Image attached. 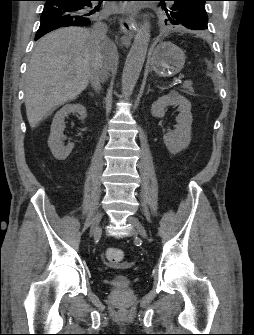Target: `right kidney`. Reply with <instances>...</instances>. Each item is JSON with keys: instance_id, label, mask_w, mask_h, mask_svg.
Listing matches in <instances>:
<instances>
[{"instance_id": "1", "label": "right kidney", "mask_w": 254, "mask_h": 335, "mask_svg": "<svg viewBox=\"0 0 254 335\" xmlns=\"http://www.w3.org/2000/svg\"><path fill=\"white\" fill-rule=\"evenodd\" d=\"M70 113H78L83 120L87 117V110L81 104H67L55 114L48 138V146L53 156L58 160H65L74 148L73 143L63 146L61 142L65 129L64 120Z\"/></svg>"}]
</instances>
